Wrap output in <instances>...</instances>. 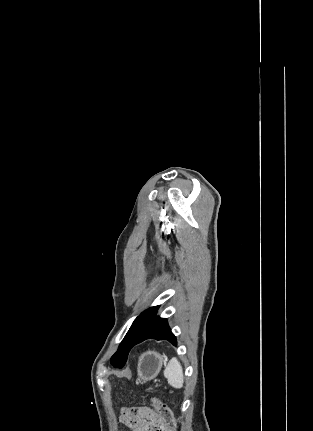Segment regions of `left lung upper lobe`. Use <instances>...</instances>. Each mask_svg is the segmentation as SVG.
<instances>
[{
	"instance_id": "left-lung-upper-lobe-1",
	"label": "left lung upper lobe",
	"mask_w": 313,
	"mask_h": 431,
	"mask_svg": "<svg viewBox=\"0 0 313 431\" xmlns=\"http://www.w3.org/2000/svg\"><path fill=\"white\" fill-rule=\"evenodd\" d=\"M159 306L151 307L141 313L131 325L129 331L121 342L117 352L111 357V363L115 367H122L132 348V343L146 325V323L157 313Z\"/></svg>"
}]
</instances>
